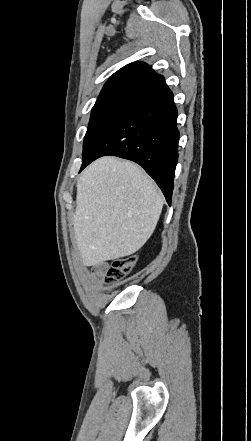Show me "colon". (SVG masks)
Here are the masks:
<instances>
[{
	"mask_svg": "<svg viewBox=\"0 0 251 441\" xmlns=\"http://www.w3.org/2000/svg\"><path fill=\"white\" fill-rule=\"evenodd\" d=\"M136 260L135 255H124L115 258L104 273V282L108 285H114L132 271Z\"/></svg>",
	"mask_w": 251,
	"mask_h": 441,
	"instance_id": "1",
	"label": "colon"
}]
</instances>
